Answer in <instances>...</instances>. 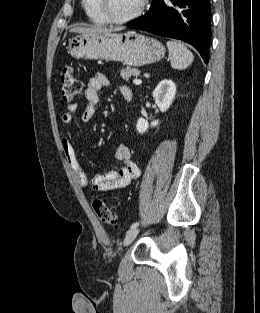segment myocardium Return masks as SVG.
Returning <instances> with one entry per match:
<instances>
[{
	"instance_id": "obj_1",
	"label": "myocardium",
	"mask_w": 260,
	"mask_h": 313,
	"mask_svg": "<svg viewBox=\"0 0 260 313\" xmlns=\"http://www.w3.org/2000/svg\"><path fill=\"white\" fill-rule=\"evenodd\" d=\"M148 0H141L135 11L125 17H115L108 9V0H97V7L103 18L107 23L111 24H125L138 18L144 11Z\"/></svg>"
}]
</instances>
